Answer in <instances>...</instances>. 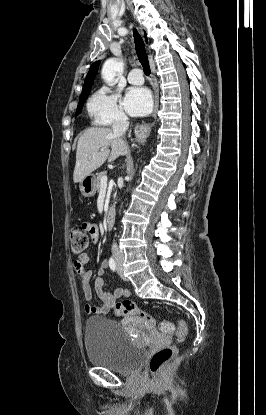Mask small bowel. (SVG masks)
<instances>
[{
    "mask_svg": "<svg viewBox=\"0 0 266 415\" xmlns=\"http://www.w3.org/2000/svg\"><path fill=\"white\" fill-rule=\"evenodd\" d=\"M83 228L90 234L93 242L98 240V226L95 222H86L83 224ZM89 262L87 254L83 253L78 256L74 261V267L81 276L82 291L85 300V312L87 314L105 315L108 314L111 309L115 306L116 300L121 297L129 296V291L124 288H116L113 293H109L104 289V279L106 269L109 263L104 260L102 261L100 268L97 271V277L94 280V290L100 301V305H93L89 301L92 298L91 280L93 273L91 270L86 269V265Z\"/></svg>",
    "mask_w": 266,
    "mask_h": 415,
    "instance_id": "1",
    "label": "small bowel"
}]
</instances>
